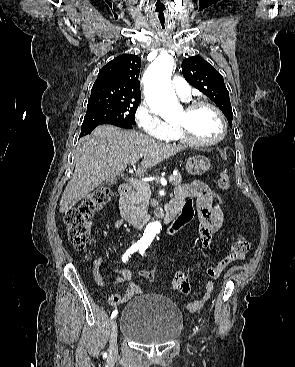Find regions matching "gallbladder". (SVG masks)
<instances>
[{
  "label": "gallbladder",
  "mask_w": 295,
  "mask_h": 367,
  "mask_svg": "<svg viewBox=\"0 0 295 367\" xmlns=\"http://www.w3.org/2000/svg\"><path fill=\"white\" fill-rule=\"evenodd\" d=\"M106 183H109V184H114L116 183V180L115 179H112V180H107Z\"/></svg>",
  "instance_id": "gallbladder-1"
}]
</instances>
